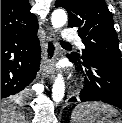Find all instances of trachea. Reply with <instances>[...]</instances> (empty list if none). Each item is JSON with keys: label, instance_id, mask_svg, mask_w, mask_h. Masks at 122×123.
Segmentation results:
<instances>
[{"label": "trachea", "instance_id": "1", "mask_svg": "<svg viewBox=\"0 0 122 123\" xmlns=\"http://www.w3.org/2000/svg\"><path fill=\"white\" fill-rule=\"evenodd\" d=\"M61 45H64V46H71L69 43L67 42H64V41H60Z\"/></svg>", "mask_w": 122, "mask_h": 123}]
</instances>
